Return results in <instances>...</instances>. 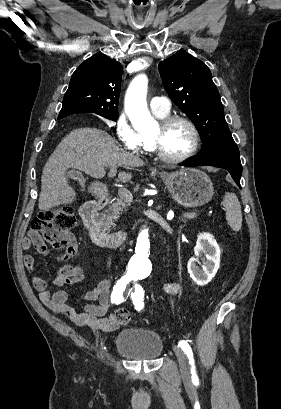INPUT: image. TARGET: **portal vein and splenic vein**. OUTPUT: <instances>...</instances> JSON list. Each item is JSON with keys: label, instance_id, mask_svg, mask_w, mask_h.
<instances>
[{"label": "portal vein and splenic vein", "instance_id": "portal-vein-and-splenic-vein-1", "mask_svg": "<svg viewBox=\"0 0 281 409\" xmlns=\"http://www.w3.org/2000/svg\"><path fill=\"white\" fill-rule=\"evenodd\" d=\"M115 168H110V172H108V176H115L114 172ZM119 194L125 196L123 198V201L126 203L127 206L131 205L132 198L129 195V190L128 189H123L119 188ZM183 217H186V219H194L193 213L192 212H183L182 213ZM172 220V219H171Z\"/></svg>", "mask_w": 281, "mask_h": 409}]
</instances>
